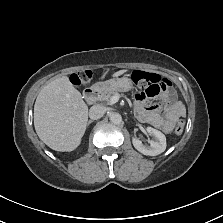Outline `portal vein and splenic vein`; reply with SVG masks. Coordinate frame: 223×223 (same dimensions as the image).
I'll return each instance as SVG.
<instances>
[{"mask_svg":"<svg viewBox=\"0 0 223 223\" xmlns=\"http://www.w3.org/2000/svg\"><path fill=\"white\" fill-rule=\"evenodd\" d=\"M119 98H120L119 94H116V95L112 96L111 99H110V105H113V104L117 103Z\"/></svg>","mask_w":223,"mask_h":223,"instance_id":"1","label":"portal vein and splenic vein"}]
</instances>
